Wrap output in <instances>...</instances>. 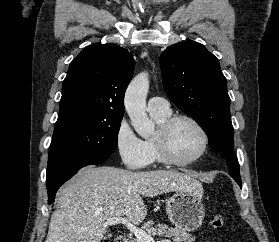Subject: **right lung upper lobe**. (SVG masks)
<instances>
[{"mask_svg": "<svg viewBox=\"0 0 279 242\" xmlns=\"http://www.w3.org/2000/svg\"><path fill=\"white\" fill-rule=\"evenodd\" d=\"M135 61L112 43L86 47L70 64L62 87L59 114L85 110L99 115H124V93Z\"/></svg>", "mask_w": 279, "mask_h": 242, "instance_id": "cb5924a9", "label": "right lung upper lobe"}]
</instances>
